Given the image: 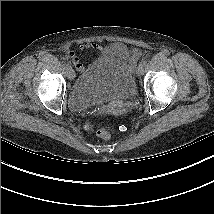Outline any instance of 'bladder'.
Masks as SVG:
<instances>
[{"label":"bladder","mask_w":214,"mask_h":214,"mask_svg":"<svg viewBox=\"0 0 214 214\" xmlns=\"http://www.w3.org/2000/svg\"><path fill=\"white\" fill-rule=\"evenodd\" d=\"M135 94L132 67L123 57L109 54L101 57L74 82L68 100L71 109L81 111L90 105L127 101Z\"/></svg>","instance_id":"1"}]
</instances>
